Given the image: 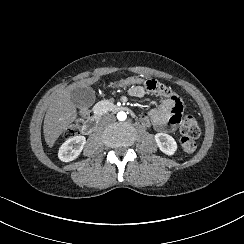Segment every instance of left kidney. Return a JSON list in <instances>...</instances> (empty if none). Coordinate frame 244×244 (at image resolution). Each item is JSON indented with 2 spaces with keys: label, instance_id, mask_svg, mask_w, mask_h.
<instances>
[{
  "label": "left kidney",
  "instance_id": "obj_1",
  "mask_svg": "<svg viewBox=\"0 0 244 244\" xmlns=\"http://www.w3.org/2000/svg\"><path fill=\"white\" fill-rule=\"evenodd\" d=\"M154 138L159 150L165 155L174 156L178 151L177 142L171 135L156 133Z\"/></svg>",
  "mask_w": 244,
  "mask_h": 244
}]
</instances>
